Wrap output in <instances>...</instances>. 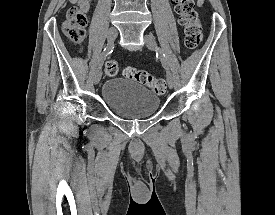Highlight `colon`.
Listing matches in <instances>:
<instances>
[{"label": "colon", "instance_id": "1", "mask_svg": "<svg viewBox=\"0 0 275 215\" xmlns=\"http://www.w3.org/2000/svg\"><path fill=\"white\" fill-rule=\"evenodd\" d=\"M89 0H78L77 5L69 8L67 20L64 24V33L68 41L80 46L85 37V28L87 26V17L85 9ZM175 5L179 22L184 26L185 46L189 50L195 49L202 39V26L199 21L194 0H172ZM118 72V64L109 60L105 64V73L108 76H114ZM124 74L128 79L134 80L147 86L151 91L161 95L166 91V83L163 79L157 78L146 70H141L133 66L124 69Z\"/></svg>", "mask_w": 275, "mask_h": 215}]
</instances>
